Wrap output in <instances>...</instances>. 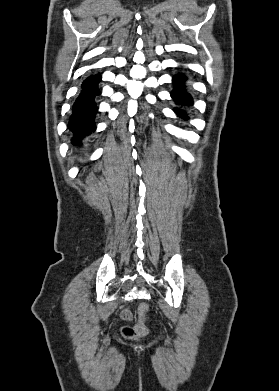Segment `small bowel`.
Segmentation results:
<instances>
[{"label": "small bowel", "instance_id": "c3829d8e", "mask_svg": "<svg viewBox=\"0 0 279 391\" xmlns=\"http://www.w3.org/2000/svg\"><path fill=\"white\" fill-rule=\"evenodd\" d=\"M121 317L122 319L124 320H131L132 319V313L129 309H125L122 313H121Z\"/></svg>", "mask_w": 279, "mask_h": 391}]
</instances>
